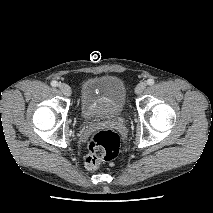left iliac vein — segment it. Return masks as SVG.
Returning <instances> with one entry per match:
<instances>
[{
    "mask_svg": "<svg viewBox=\"0 0 213 213\" xmlns=\"http://www.w3.org/2000/svg\"><path fill=\"white\" fill-rule=\"evenodd\" d=\"M146 88V83L145 82H140L136 88H135V93L136 94H141Z\"/></svg>",
    "mask_w": 213,
    "mask_h": 213,
    "instance_id": "obj_1",
    "label": "left iliac vein"
}]
</instances>
